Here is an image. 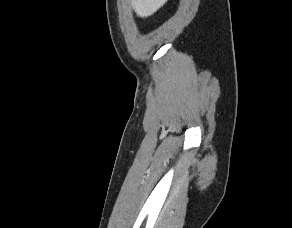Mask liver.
<instances>
[{
    "instance_id": "liver-1",
    "label": "liver",
    "mask_w": 292,
    "mask_h": 228,
    "mask_svg": "<svg viewBox=\"0 0 292 228\" xmlns=\"http://www.w3.org/2000/svg\"><path fill=\"white\" fill-rule=\"evenodd\" d=\"M167 0H131L132 7L139 17H148L161 8Z\"/></svg>"
}]
</instances>
